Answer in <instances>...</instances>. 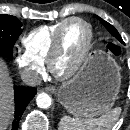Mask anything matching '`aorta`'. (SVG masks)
I'll use <instances>...</instances> for the list:
<instances>
[{"instance_id": "obj_1", "label": "aorta", "mask_w": 130, "mask_h": 130, "mask_svg": "<svg viewBox=\"0 0 130 130\" xmlns=\"http://www.w3.org/2000/svg\"><path fill=\"white\" fill-rule=\"evenodd\" d=\"M52 99L46 93H40L36 97V104L39 108L47 109L51 106Z\"/></svg>"}]
</instances>
